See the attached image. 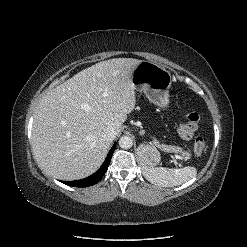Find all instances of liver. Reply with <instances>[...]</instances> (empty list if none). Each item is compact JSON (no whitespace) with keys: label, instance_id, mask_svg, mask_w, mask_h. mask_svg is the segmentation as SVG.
Wrapping results in <instances>:
<instances>
[{"label":"liver","instance_id":"liver-1","mask_svg":"<svg viewBox=\"0 0 247 247\" xmlns=\"http://www.w3.org/2000/svg\"><path fill=\"white\" fill-rule=\"evenodd\" d=\"M141 60L113 58L86 68L49 91L34 115L32 148L41 169L54 178L77 180L103 163L110 141L136 105L132 73Z\"/></svg>","mask_w":247,"mask_h":247}]
</instances>
